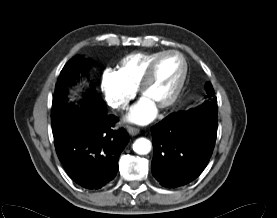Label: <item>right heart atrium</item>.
<instances>
[{"label":"right heart atrium","mask_w":277,"mask_h":218,"mask_svg":"<svg viewBox=\"0 0 277 218\" xmlns=\"http://www.w3.org/2000/svg\"><path fill=\"white\" fill-rule=\"evenodd\" d=\"M101 91L106 103L114 109H126L135 97L136 89L127 84L118 71L106 68L101 75Z\"/></svg>","instance_id":"1"}]
</instances>
